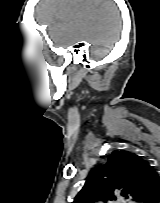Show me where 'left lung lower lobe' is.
Listing matches in <instances>:
<instances>
[{"instance_id": "left-lung-lower-lobe-1", "label": "left lung lower lobe", "mask_w": 160, "mask_h": 203, "mask_svg": "<svg viewBox=\"0 0 160 203\" xmlns=\"http://www.w3.org/2000/svg\"><path fill=\"white\" fill-rule=\"evenodd\" d=\"M150 203H160V182L158 183Z\"/></svg>"}]
</instances>
